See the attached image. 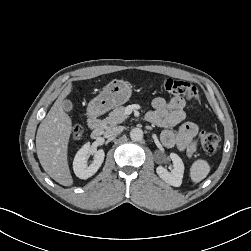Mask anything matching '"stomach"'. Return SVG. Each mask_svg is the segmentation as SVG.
Here are the masks:
<instances>
[{
	"label": "stomach",
	"instance_id": "stomach-1",
	"mask_svg": "<svg viewBox=\"0 0 251 251\" xmlns=\"http://www.w3.org/2000/svg\"><path fill=\"white\" fill-rule=\"evenodd\" d=\"M132 94L131 85L124 80L114 79L110 81L97 97L88 105L90 115H100L114 107L126 103Z\"/></svg>",
	"mask_w": 251,
	"mask_h": 251
}]
</instances>
